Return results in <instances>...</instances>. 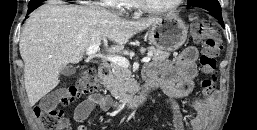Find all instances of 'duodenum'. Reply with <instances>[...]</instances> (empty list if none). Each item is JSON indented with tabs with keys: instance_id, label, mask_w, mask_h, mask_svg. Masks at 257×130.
Instances as JSON below:
<instances>
[{
	"instance_id": "1",
	"label": "duodenum",
	"mask_w": 257,
	"mask_h": 130,
	"mask_svg": "<svg viewBox=\"0 0 257 130\" xmlns=\"http://www.w3.org/2000/svg\"><path fill=\"white\" fill-rule=\"evenodd\" d=\"M110 73V68L107 64H103L98 69V74L101 80L104 82ZM157 87V83L152 80H146L145 85L140 92L135 96L126 99L116 104V109L122 111H135L142 107L148 98V95Z\"/></svg>"
}]
</instances>
